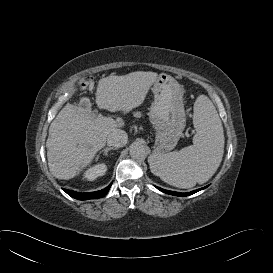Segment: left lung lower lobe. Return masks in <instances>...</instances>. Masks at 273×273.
Instances as JSON below:
<instances>
[{
	"instance_id": "obj_1",
	"label": "left lung lower lobe",
	"mask_w": 273,
	"mask_h": 273,
	"mask_svg": "<svg viewBox=\"0 0 273 273\" xmlns=\"http://www.w3.org/2000/svg\"><path fill=\"white\" fill-rule=\"evenodd\" d=\"M158 190L164 192V193H167V194H170V195H174V196H180V197H185V196H188V195H191V194H194L204 188H201V189H197V190H194V191H191V192H187V193H180V192H174V191H168V190H164L162 188H159V187H156Z\"/></svg>"
}]
</instances>
